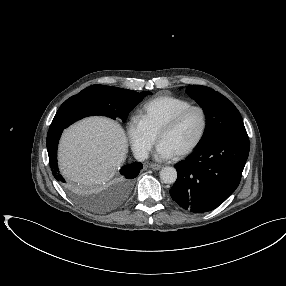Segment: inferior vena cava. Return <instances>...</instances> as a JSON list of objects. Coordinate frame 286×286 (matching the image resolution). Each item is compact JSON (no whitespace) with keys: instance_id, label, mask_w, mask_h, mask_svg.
Instances as JSON below:
<instances>
[{"instance_id":"obj_1","label":"inferior vena cava","mask_w":286,"mask_h":286,"mask_svg":"<svg viewBox=\"0 0 286 286\" xmlns=\"http://www.w3.org/2000/svg\"><path fill=\"white\" fill-rule=\"evenodd\" d=\"M148 155H149V153L147 150H138L135 152L134 157L138 161H144L145 159L148 158Z\"/></svg>"}]
</instances>
